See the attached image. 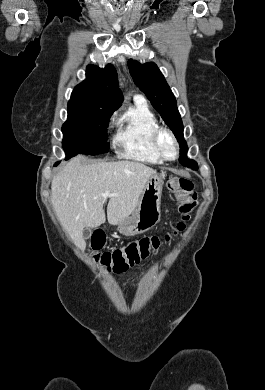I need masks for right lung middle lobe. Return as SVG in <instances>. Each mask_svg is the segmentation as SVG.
Wrapping results in <instances>:
<instances>
[{"mask_svg":"<svg viewBox=\"0 0 265 390\" xmlns=\"http://www.w3.org/2000/svg\"><path fill=\"white\" fill-rule=\"evenodd\" d=\"M62 126L66 159L77 154L97 155L109 149L107 127L113 112L87 106H69Z\"/></svg>","mask_w":265,"mask_h":390,"instance_id":"obj_1","label":"right lung middle lobe"}]
</instances>
